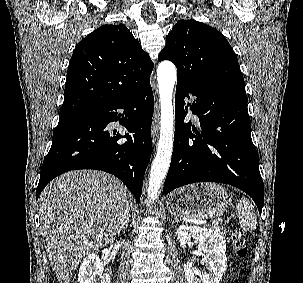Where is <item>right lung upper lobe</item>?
Here are the masks:
<instances>
[{"mask_svg":"<svg viewBox=\"0 0 303 283\" xmlns=\"http://www.w3.org/2000/svg\"><path fill=\"white\" fill-rule=\"evenodd\" d=\"M153 63L123 24L103 25L76 46L60 117L134 93L149 82Z\"/></svg>","mask_w":303,"mask_h":283,"instance_id":"1","label":"right lung upper lobe"}]
</instances>
